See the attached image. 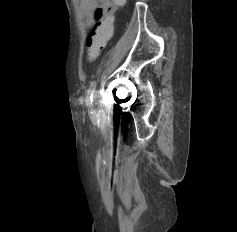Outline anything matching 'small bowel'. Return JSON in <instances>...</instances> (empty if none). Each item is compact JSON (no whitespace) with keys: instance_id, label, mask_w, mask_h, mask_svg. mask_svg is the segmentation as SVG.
Listing matches in <instances>:
<instances>
[{"instance_id":"small-bowel-1","label":"small bowel","mask_w":237,"mask_h":232,"mask_svg":"<svg viewBox=\"0 0 237 232\" xmlns=\"http://www.w3.org/2000/svg\"><path fill=\"white\" fill-rule=\"evenodd\" d=\"M82 14L88 26L104 20L118 8L117 0H80Z\"/></svg>"}]
</instances>
